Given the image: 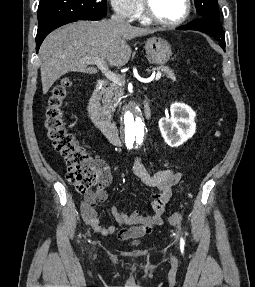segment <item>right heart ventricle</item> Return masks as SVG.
<instances>
[{
  "label": "right heart ventricle",
  "mask_w": 255,
  "mask_h": 287,
  "mask_svg": "<svg viewBox=\"0 0 255 287\" xmlns=\"http://www.w3.org/2000/svg\"><path fill=\"white\" fill-rule=\"evenodd\" d=\"M127 33H145V32H127ZM135 39H151V38H135ZM160 48H170V47H160Z\"/></svg>",
  "instance_id": "e07e8e85"
}]
</instances>
